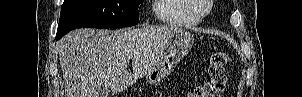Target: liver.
<instances>
[{
    "label": "liver",
    "mask_w": 302,
    "mask_h": 97,
    "mask_svg": "<svg viewBox=\"0 0 302 97\" xmlns=\"http://www.w3.org/2000/svg\"><path fill=\"white\" fill-rule=\"evenodd\" d=\"M181 33L171 26L68 33L59 41L65 97H100L103 89L120 93L145 76ZM130 60L133 73L127 70Z\"/></svg>",
    "instance_id": "6515ba94"
}]
</instances>
